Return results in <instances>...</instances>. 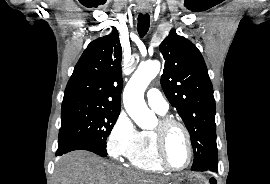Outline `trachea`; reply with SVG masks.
<instances>
[{
  "mask_svg": "<svg viewBox=\"0 0 270 184\" xmlns=\"http://www.w3.org/2000/svg\"><path fill=\"white\" fill-rule=\"evenodd\" d=\"M150 27V16L148 14H139L137 30L141 37L145 36Z\"/></svg>",
  "mask_w": 270,
  "mask_h": 184,
  "instance_id": "3493384b",
  "label": "trachea"
}]
</instances>
